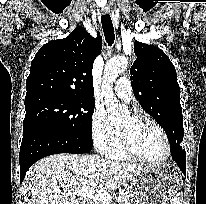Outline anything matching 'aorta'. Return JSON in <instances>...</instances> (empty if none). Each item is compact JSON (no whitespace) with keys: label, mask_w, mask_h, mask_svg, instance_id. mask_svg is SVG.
I'll return each instance as SVG.
<instances>
[{"label":"aorta","mask_w":206,"mask_h":204,"mask_svg":"<svg viewBox=\"0 0 206 204\" xmlns=\"http://www.w3.org/2000/svg\"><path fill=\"white\" fill-rule=\"evenodd\" d=\"M128 59L124 56L110 59L104 68L102 95L112 121H118L127 114V109L120 105L113 92V83L120 73L126 70Z\"/></svg>","instance_id":"1"}]
</instances>
